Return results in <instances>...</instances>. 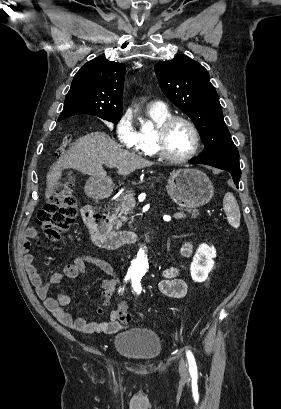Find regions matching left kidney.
<instances>
[{"mask_svg":"<svg viewBox=\"0 0 281 409\" xmlns=\"http://www.w3.org/2000/svg\"><path fill=\"white\" fill-rule=\"evenodd\" d=\"M215 257L216 249L214 247H208L206 243L199 245L190 265L191 277L195 283L206 281L211 269L214 267L213 259Z\"/></svg>","mask_w":281,"mask_h":409,"instance_id":"left-kidney-1","label":"left kidney"}]
</instances>
